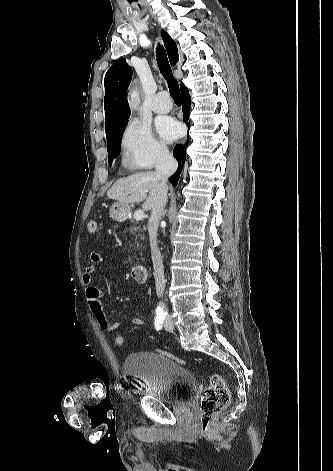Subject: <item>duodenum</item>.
I'll return each mask as SVG.
<instances>
[{
	"instance_id": "obj_1",
	"label": "duodenum",
	"mask_w": 333,
	"mask_h": 471,
	"mask_svg": "<svg viewBox=\"0 0 333 471\" xmlns=\"http://www.w3.org/2000/svg\"><path fill=\"white\" fill-rule=\"evenodd\" d=\"M133 279L138 283H144L147 280V269L144 265H136L131 269Z\"/></svg>"
}]
</instances>
